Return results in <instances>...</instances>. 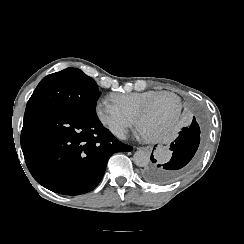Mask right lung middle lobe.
<instances>
[{
	"label": "right lung middle lobe",
	"instance_id": "1",
	"mask_svg": "<svg viewBox=\"0 0 244 244\" xmlns=\"http://www.w3.org/2000/svg\"><path fill=\"white\" fill-rule=\"evenodd\" d=\"M99 96L98 86L91 77L79 69L67 68L43 78L27 106L50 105L97 117L95 108Z\"/></svg>",
	"mask_w": 244,
	"mask_h": 244
}]
</instances>
